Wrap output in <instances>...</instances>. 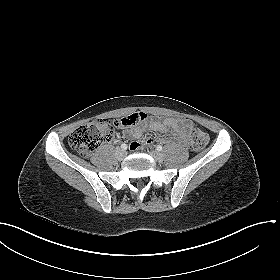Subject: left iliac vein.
<instances>
[{
	"instance_id": "1",
	"label": "left iliac vein",
	"mask_w": 280,
	"mask_h": 280,
	"mask_svg": "<svg viewBox=\"0 0 280 280\" xmlns=\"http://www.w3.org/2000/svg\"><path fill=\"white\" fill-rule=\"evenodd\" d=\"M150 155L157 161L162 162L163 161V155L158 151H150Z\"/></svg>"
}]
</instances>
